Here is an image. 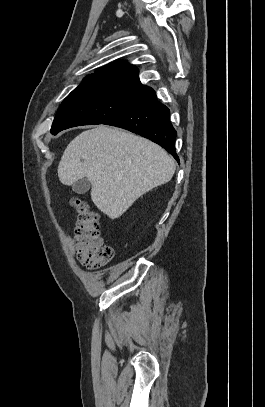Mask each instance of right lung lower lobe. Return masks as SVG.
<instances>
[{
	"label": "right lung lower lobe",
	"instance_id": "1",
	"mask_svg": "<svg viewBox=\"0 0 265 407\" xmlns=\"http://www.w3.org/2000/svg\"><path fill=\"white\" fill-rule=\"evenodd\" d=\"M103 124L124 128L148 138L166 149L179 162L175 151L177 132L170 122L169 109L157 100L155 93Z\"/></svg>",
	"mask_w": 265,
	"mask_h": 407
}]
</instances>
